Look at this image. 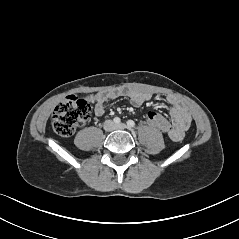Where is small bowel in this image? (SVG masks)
Segmentation results:
<instances>
[{
    "instance_id": "obj_1",
    "label": "small bowel",
    "mask_w": 239,
    "mask_h": 239,
    "mask_svg": "<svg viewBox=\"0 0 239 239\" xmlns=\"http://www.w3.org/2000/svg\"><path fill=\"white\" fill-rule=\"evenodd\" d=\"M120 96L128 97L135 106H140L153 99V95L151 93L134 88L103 91L97 94L95 98V115L97 117L103 116L105 113L106 103ZM167 100L169 103L171 122L169 129L163 133L167 134L172 141L178 142L183 139L186 130L189 128L191 124V116L176 97L168 96Z\"/></svg>"
}]
</instances>
